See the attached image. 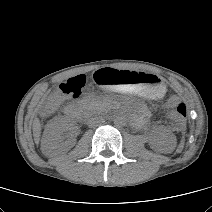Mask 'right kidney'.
Wrapping results in <instances>:
<instances>
[{"instance_id": "ca27d5eb", "label": "right kidney", "mask_w": 212, "mask_h": 212, "mask_svg": "<svg viewBox=\"0 0 212 212\" xmlns=\"http://www.w3.org/2000/svg\"><path fill=\"white\" fill-rule=\"evenodd\" d=\"M64 127V124H57L53 130L45 131L41 143V150L44 154H51L55 151L58 153L67 152L75 145V139L65 141L61 139V131Z\"/></svg>"}]
</instances>
